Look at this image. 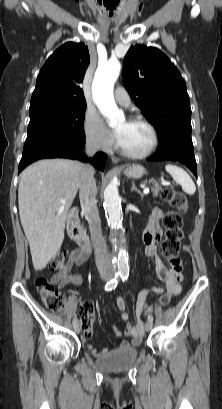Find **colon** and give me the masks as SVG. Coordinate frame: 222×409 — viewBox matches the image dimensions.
<instances>
[{
  "label": "colon",
  "mask_w": 222,
  "mask_h": 409,
  "mask_svg": "<svg viewBox=\"0 0 222 409\" xmlns=\"http://www.w3.org/2000/svg\"><path fill=\"white\" fill-rule=\"evenodd\" d=\"M161 197L171 207L163 216V226L165 236L162 242V252L169 259L170 256H178L183 239V219L182 214L188 208L186 196L170 186H166L161 191ZM67 253L65 250L58 251L50 262L52 270H61L66 265ZM36 288L45 304L52 311H61L65 306V297L55 290L53 284L45 277H38L35 281ZM170 293H165L160 297V305L165 306L171 299ZM154 307L148 306L146 314H152ZM145 315V314H144ZM77 316L82 326V335L89 338L93 332L94 313L89 304H82L77 309Z\"/></svg>",
  "instance_id": "obj_1"
}]
</instances>
